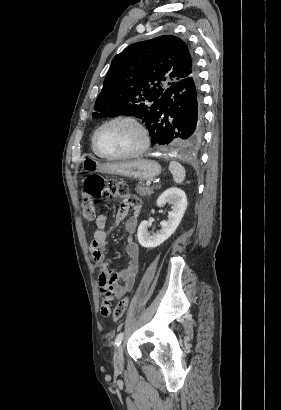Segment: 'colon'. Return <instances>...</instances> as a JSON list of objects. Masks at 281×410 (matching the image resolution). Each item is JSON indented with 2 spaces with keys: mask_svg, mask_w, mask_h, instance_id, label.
<instances>
[{
  "mask_svg": "<svg viewBox=\"0 0 281 410\" xmlns=\"http://www.w3.org/2000/svg\"><path fill=\"white\" fill-rule=\"evenodd\" d=\"M113 192L118 195H126L127 188L124 184L118 183L114 185ZM108 195L105 187V181L100 175H89L84 180V190L81 194L82 210L86 219L91 220L95 216V200ZM129 307V299L123 298L116 305L113 311V320L119 321L126 314ZM102 312L108 313L107 307H103Z\"/></svg>",
  "mask_w": 281,
  "mask_h": 410,
  "instance_id": "colon-1",
  "label": "colon"
}]
</instances>
